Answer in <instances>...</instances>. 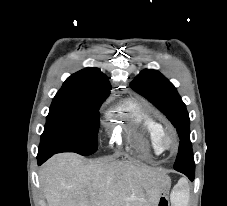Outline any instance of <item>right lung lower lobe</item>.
Instances as JSON below:
<instances>
[{"label":"right lung lower lobe","mask_w":227,"mask_h":206,"mask_svg":"<svg viewBox=\"0 0 227 206\" xmlns=\"http://www.w3.org/2000/svg\"><path fill=\"white\" fill-rule=\"evenodd\" d=\"M52 154H38V165L43 164L48 158H50Z\"/></svg>","instance_id":"right-lung-lower-lobe-1"}]
</instances>
